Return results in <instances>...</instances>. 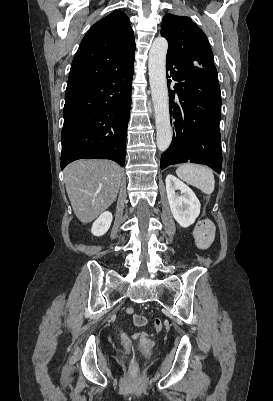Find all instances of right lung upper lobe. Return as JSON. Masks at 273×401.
<instances>
[{
  "label": "right lung upper lobe",
  "instance_id": "right-lung-upper-lobe-1",
  "mask_svg": "<svg viewBox=\"0 0 273 401\" xmlns=\"http://www.w3.org/2000/svg\"><path fill=\"white\" fill-rule=\"evenodd\" d=\"M134 33L128 17L114 11L95 23L72 61L66 94L103 79L112 69L134 61Z\"/></svg>",
  "mask_w": 273,
  "mask_h": 401
}]
</instances>
